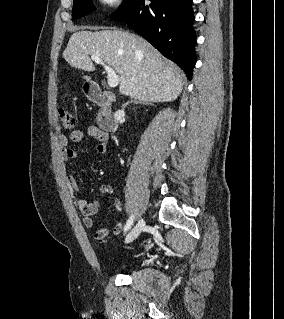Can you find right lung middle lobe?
Segmentation results:
<instances>
[{
	"instance_id": "dd1d6c3e",
	"label": "right lung middle lobe",
	"mask_w": 284,
	"mask_h": 319,
	"mask_svg": "<svg viewBox=\"0 0 284 319\" xmlns=\"http://www.w3.org/2000/svg\"><path fill=\"white\" fill-rule=\"evenodd\" d=\"M130 0H124V3L129 2ZM122 4V5H123ZM95 10V7L92 5L91 0H74L72 18L77 19L82 16H85Z\"/></svg>"
}]
</instances>
